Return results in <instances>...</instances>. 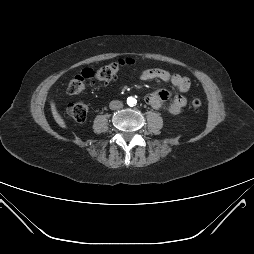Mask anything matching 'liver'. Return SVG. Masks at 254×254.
Returning <instances> with one entry per match:
<instances>
[{
    "mask_svg": "<svg viewBox=\"0 0 254 254\" xmlns=\"http://www.w3.org/2000/svg\"><path fill=\"white\" fill-rule=\"evenodd\" d=\"M50 106H51V111H52V115L56 121V123L62 127V128H66V124L63 120V118L61 117V115L58 113L55 103L53 102V100L50 102Z\"/></svg>",
    "mask_w": 254,
    "mask_h": 254,
    "instance_id": "obj_1",
    "label": "liver"
}]
</instances>
